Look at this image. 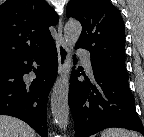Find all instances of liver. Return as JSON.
<instances>
[{"label":"liver","instance_id":"1","mask_svg":"<svg viewBox=\"0 0 144 137\" xmlns=\"http://www.w3.org/2000/svg\"><path fill=\"white\" fill-rule=\"evenodd\" d=\"M0 137H36V133L15 117L0 115Z\"/></svg>","mask_w":144,"mask_h":137}]
</instances>
